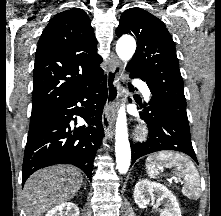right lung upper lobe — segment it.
Segmentation results:
<instances>
[{
    "label": "right lung upper lobe",
    "mask_w": 221,
    "mask_h": 216,
    "mask_svg": "<svg viewBox=\"0 0 221 216\" xmlns=\"http://www.w3.org/2000/svg\"><path fill=\"white\" fill-rule=\"evenodd\" d=\"M97 43L82 9L58 13L50 20L36 50L31 115L49 111L102 77Z\"/></svg>",
    "instance_id": "obj_1"
}]
</instances>
